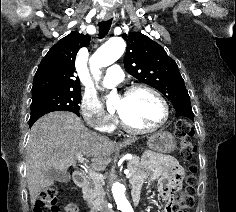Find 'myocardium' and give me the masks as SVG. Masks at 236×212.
Listing matches in <instances>:
<instances>
[{"mask_svg": "<svg viewBox=\"0 0 236 212\" xmlns=\"http://www.w3.org/2000/svg\"><path fill=\"white\" fill-rule=\"evenodd\" d=\"M139 90H144V91L150 92L151 94H153L158 99V101L161 103L162 108H163L162 119L156 125H154L153 127L144 128V129L135 128V127L131 126L119 114L117 115V120H118L120 126L125 131H127L129 133H132V134H149V133H153V132L159 130L161 127H163L167 123V121L169 119V116H170L169 105H168L166 99L163 97V95L157 89H155V88H153V87H151L147 84L139 83V84H134V85L129 86L125 90L124 96H128L130 94H133L134 92L139 91Z\"/></svg>", "mask_w": 236, "mask_h": 212, "instance_id": "1", "label": "myocardium"}]
</instances>
